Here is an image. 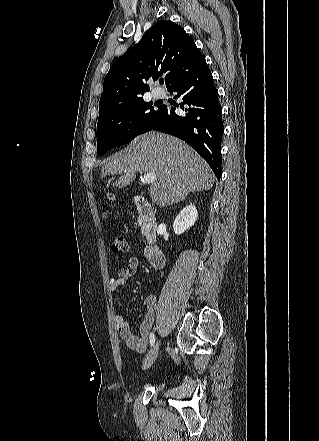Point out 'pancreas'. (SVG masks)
<instances>
[{
  "label": "pancreas",
  "instance_id": "cf45deb5",
  "mask_svg": "<svg viewBox=\"0 0 319 441\" xmlns=\"http://www.w3.org/2000/svg\"><path fill=\"white\" fill-rule=\"evenodd\" d=\"M138 223L141 226V232H142L143 236H146L147 235V231H146V228H145L143 220L139 219Z\"/></svg>",
  "mask_w": 319,
  "mask_h": 441
}]
</instances>
